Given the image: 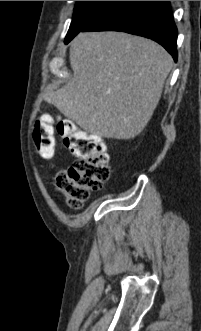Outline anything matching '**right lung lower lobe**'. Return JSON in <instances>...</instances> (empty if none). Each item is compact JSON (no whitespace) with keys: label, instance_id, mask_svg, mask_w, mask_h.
I'll use <instances>...</instances> for the list:
<instances>
[{"label":"right lung lower lobe","instance_id":"right-lung-lower-lobe-1","mask_svg":"<svg viewBox=\"0 0 201 331\" xmlns=\"http://www.w3.org/2000/svg\"><path fill=\"white\" fill-rule=\"evenodd\" d=\"M107 30L150 38L177 61V28L170 1H114L81 31Z\"/></svg>","mask_w":201,"mask_h":331}]
</instances>
